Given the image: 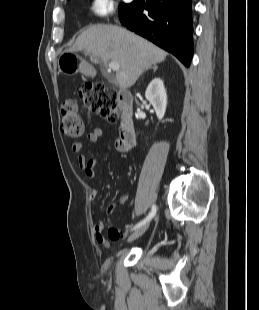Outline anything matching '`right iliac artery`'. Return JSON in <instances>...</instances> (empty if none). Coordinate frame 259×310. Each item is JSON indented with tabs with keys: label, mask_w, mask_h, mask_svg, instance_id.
Segmentation results:
<instances>
[{
	"label": "right iliac artery",
	"mask_w": 259,
	"mask_h": 310,
	"mask_svg": "<svg viewBox=\"0 0 259 310\" xmlns=\"http://www.w3.org/2000/svg\"><path fill=\"white\" fill-rule=\"evenodd\" d=\"M155 214H156V206L153 205L150 213L148 214V216L144 220L139 222L133 229H137V228L141 227L142 225H144L146 222L151 220L155 216Z\"/></svg>",
	"instance_id": "right-iliac-artery-1"
}]
</instances>
